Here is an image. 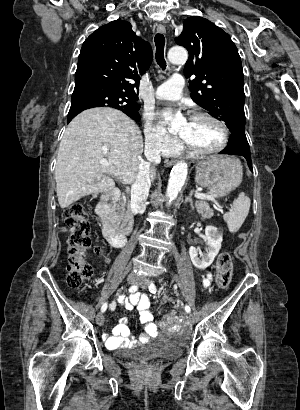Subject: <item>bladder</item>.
<instances>
[{
  "label": "bladder",
  "instance_id": "31cf9c89",
  "mask_svg": "<svg viewBox=\"0 0 300 410\" xmlns=\"http://www.w3.org/2000/svg\"><path fill=\"white\" fill-rule=\"evenodd\" d=\"M183 344L165 341L156 345H147L139 349L127 350L126 354L135 359H156L178 357L182 354Z\"/></svg>",
  "mask_w": 300,
  "mask_h": 410
}]
</instances>
